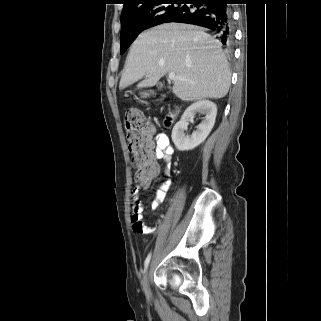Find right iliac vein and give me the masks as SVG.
<instances>
[{
  "label": "right iliac vein",
  "instance_id": "63e3f726",
  "mask_svg": "<svg viewBox=\"0 0 321 321\" xmlns=\"http://www.w3.org/2000/svg\"><path fill=\"white\" fill-rule=\"evenodd\" d=\"M150 276H151V269H149L145 275L144 278V284H143V288L144 291L147 295H149V280H150Z\"/></svg>",
  "mask_w": 321,
  "mask_h": 321
}]
</instances>
